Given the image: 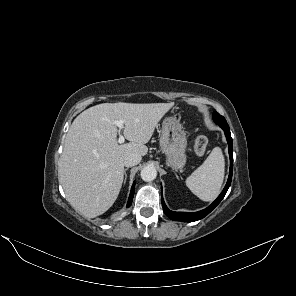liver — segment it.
<instances>
[{
    "mask_svg": "<svg viewBox=\"0 0 296 296\" xmlns=\"http://www.w3.org/2000/svg\"><path fill=\"white\" fill-rule=\"evenodd\" d=\"M174 103H103L79 114L65 138L58 178L71 206L88 217L106 212L117 199L123 178L124 159L145 156L155 127ZM115 120L130 141L118 144Z\"/></svg>",
    "mask_w": 296,
    "mask_h": 296,
    "instance_id": "liver-1",
    "label": "liver"
}]
</instances>
